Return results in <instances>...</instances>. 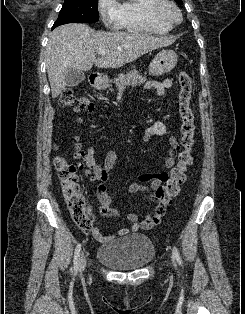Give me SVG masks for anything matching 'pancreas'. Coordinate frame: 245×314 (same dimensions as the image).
Returning a JSON list of instances; mask_svg holds the SVG:
<instances>
[{"label":"pancreas","instance_id":"pancreas-1","mask_svg":"<svg viewBox=\"0 0 245 314\" xmlns=\"http://www.w3.org/2000/svg\"><path fill=\"white\" fill-rule=\"evenodd\" d=\"M146 81L145 77H142L141 74L136 70L133 69L129 71L126 74H119L117 78L114 80H111L110 82H114L118 89H122L123 87L129 86V85H140ZM110 91L112 89L110 88Z\"/></svg>","mask_w":245,"mask_h":314}]
</instances>
